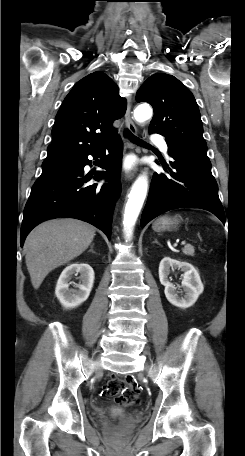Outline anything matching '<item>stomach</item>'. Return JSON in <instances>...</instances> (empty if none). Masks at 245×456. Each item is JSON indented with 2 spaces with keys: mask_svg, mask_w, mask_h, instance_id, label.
<instances>
[{
  "mask_svg": "<svg viewBox=\"0 0 245 456\" xmlns=\"http://www.w3.org/2000/svg\"><path fill=\"white\" fill-rule=\"evenodd\" d=\"M179 223V219L177 217H168L163 216L157 219L153 224V229L157 232L171 230L175 228Z\"/></svg>",
  "mask_w": 245,
  "mask_h": 456,
  "instance_id": "0dacf381",
  "label": "stomach"
}]
</instances>
